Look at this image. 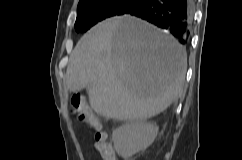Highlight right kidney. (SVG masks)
<instances>
[{
    "mask_svg": "<svg viewBox=\"0 0 242 160\" xmlns=\"http://www.w3.org/2000/svg\"><path fill=\"white\" fill-rule=\"evenodd\" d=\"M159 127L150 122H128L112 133L114 148L122 157H132L137 152L146 149L155 140Z\"/></svg>",
    "mask_w": 242,
    "mask_h": 160,
    "instance_id": "right-kidney-1",
    "label": "right kidney"
}]
</instances>
